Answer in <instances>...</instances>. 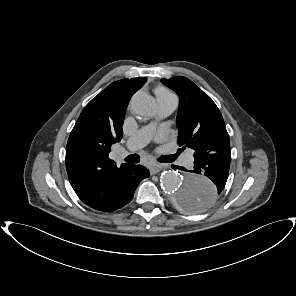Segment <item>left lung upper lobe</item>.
<instances>
[{
    "label": "left lung upper lobe",
    "instance_id": "1",
    "mask_svg": "<svg viewBox=\"0 0 296 296\" xmlns=\"http://www.w3.org/2000/svg\"><path fill=\"white\" fill-rule=\"evenodd\" d=\"M161 81L176 91L180 98L177 114L180 132L178 144L183 148H192L195 159L230 150L223 117L213 100L183 76L162 78Z\"/></svg>",
    "mask_w": 296,
    "mask_h": 296
}]
</instances>
